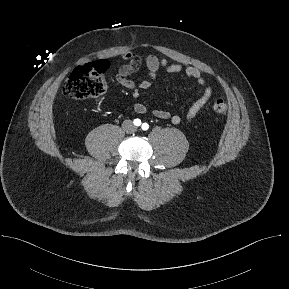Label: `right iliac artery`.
<instances>
[{
	"instance_id": "1",
	"label": "right iliac artery",
	"mask_w": 289,
	"mask_h": 289,
	"mask_svg": "<svg viewBox=\"0 0 289 289\" xmlns=\"http://www.w3.org/2000/svg\"><path fill=\"white\" fill-rule=\"evenodd\" d=\"M133 123H134V125H136V126H140V125H141V120H140V119H135V120L133 121Z\"/></svg>"
}]
</instances>
